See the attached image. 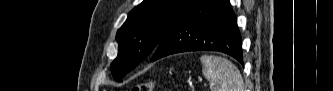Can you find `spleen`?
I'll use <instances>...</instances> for the list:
<instances>
[{"instance_id": "1", "label": "spleen", "mask_w": 333, "mask_h": 91, "mask_svg": "<svg viewBox=\"0 0 333 91\" xmlns=\"http://www.w3.org/2000/svg\"><path fill=\"white\" fill-rule=\"evenodd\" d=\"M202 72L214 91H244V82L238 68L228 59L202 55Z\"/></svg>"}]
</instances>
